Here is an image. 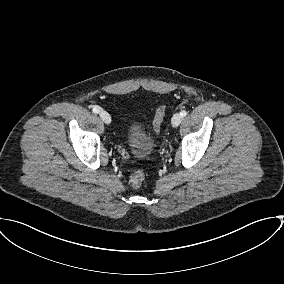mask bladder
<instances>
[{
    "label": "bladder",
    "mask_w": 284,
    "mask_h": 284,
    "mask_svg": "<svg viewBox=\"0 0 284 284\" xmlns=\"http://www.w3.org/2000/svg\"><path fill=\"white\" fill-rule=\"evenodd\" d=\"M125 141L131 153L140 158L150 156L155 146L153 137L141 123L136 121H132L127 125Z\"/></svg>",
    "instance_id": "1"
}]
</instances>
